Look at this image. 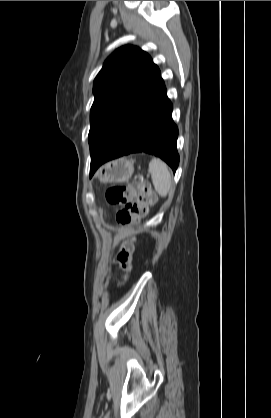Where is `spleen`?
<instances>
[{
    "label": "spleen",
    "mask_w": 271,
    "mask_h": 418,
    "mask_svg": "<svg viewBox=\"0 0 271 418\" xmlns=\"http://www.w3.org/2000/svg\"><path fill=\"white\" fill-rule=\"evenodd\" d=\"M148 172L151 174L152 182L157 193L161 197H166L172 185L167 164L158 158H153L149 163Z\"/></svg>",
    "instance_id": "spleen-1"
}]
</instances>
